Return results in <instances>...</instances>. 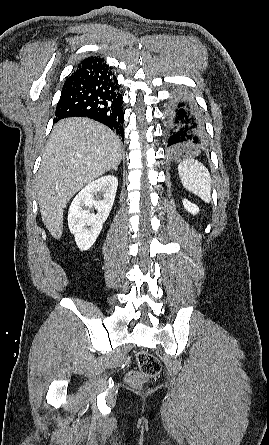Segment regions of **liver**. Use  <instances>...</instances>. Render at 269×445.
<instances>
[{
	"instance_id": "liver-1",
	"label": "liver",
	"mask_w": 269,
	"mask_h": 445,
	"mask_svg": "<svg viewBox=\"0 0 269 445\" xmlns=\"http://www.w3.org/2000/svg\"><path fill=\"white\" fill-rule=\"evenodd\" d=\"M121 142L106 126L88 118H68L53 128L36 187L42 220L55 238L63 232L69 200L86 184L116 168Z\"/></svg>"
}]
</instances>
